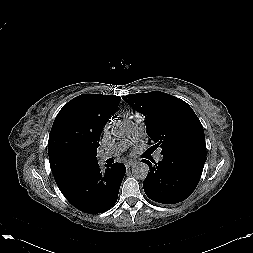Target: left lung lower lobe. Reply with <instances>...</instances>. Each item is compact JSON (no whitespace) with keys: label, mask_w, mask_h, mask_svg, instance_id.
I'll use <instances>...</instances> for the list:
<instances>
[{"label":"left lung lower lobe","mask_w":253,"mask_h":253,"mask_svg":"<svg viewBox=\"0 0 253 253\" xmlns=\"http://www.w3.org/2000/svg\"><path fill=\"white\" fill-rule=\"evenodd\" d=\"M162 155L163 159L158 163L142 160L150 169L143 182L144 191L151 200L159 203L181 202L198 185L207 155L191 151Z\"/></svg>","instance_id":"obj_1"}]
</instances>
